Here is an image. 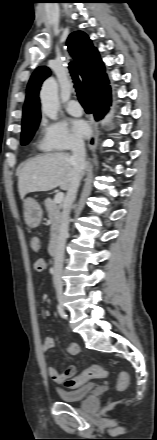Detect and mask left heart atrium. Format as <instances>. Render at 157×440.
Wrapping results in <instances>:
<instances>
[{"label":"left heart atrium","mask_w":157,"mask_h":440,"mask_svg":"<svg viewBox=\"0 0 157 440\" xmlns=\"http://www.w3.org/2000/svg\"><path fill=\"white\" fill-rule=\"evenodd\" d=\"M71 127L75 135L80 138H88L91 134L90 125L81 119H74L71 121Z\"/></svg>","instance_id":"left-heart-atrium-1"}]
</instances>
